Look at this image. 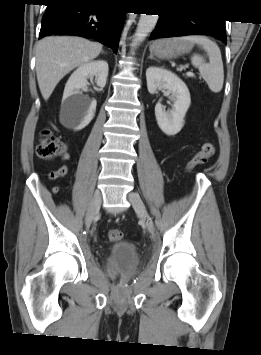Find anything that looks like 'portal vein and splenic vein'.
Returning <instances> with one entry per match:
<instances>
[{"mask_svg":"<svg viewBox=\"0 0 261 355\" xmlns=\"http://www.w3.org/2000/svg\"><path fill=\"white\" fill-rule=\"evenodd\" d=\"M186 75L188 77H194L195 76V74L193 72H191V71L187 72Z\"/></svg>","mask_w":261,"mask_h":355,"instance_id":"portal-vein-and-splenic-vein-1","label":"portal vein and splenic vein"}]
</instances>
